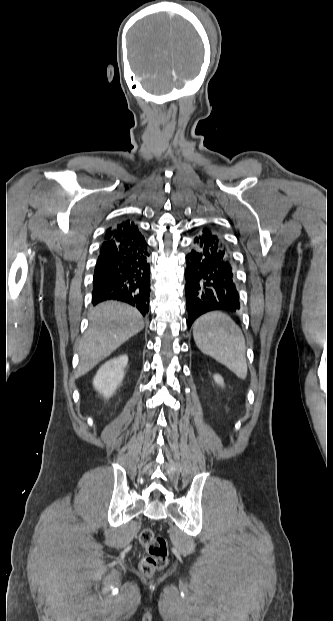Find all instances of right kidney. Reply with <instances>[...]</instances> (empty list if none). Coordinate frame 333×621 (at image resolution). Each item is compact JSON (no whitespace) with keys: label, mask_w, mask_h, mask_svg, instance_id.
I'll return each mask as SVG.
<instances>
[{"label":"right kidney","mask_w":333,"mask_h":621,"mask_svg":"<svg viewBox=\"0 0 333 621\" xmlns=\"http://www.w3.org/2000/svg\"><path fill=\"white\" fill-rule=\"evenodd\" d=\"M128 357L121 355L107 361L98 370L93 380L95 389L105 398H109L122 382L124 368L127 366Z\"/></svg>","instance_id":"ca27d5eb"}]
</instances>
